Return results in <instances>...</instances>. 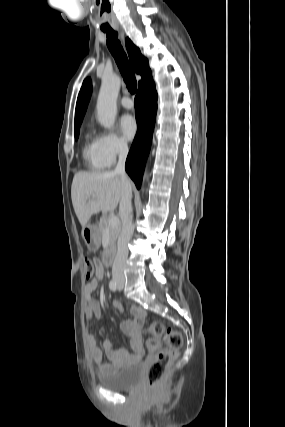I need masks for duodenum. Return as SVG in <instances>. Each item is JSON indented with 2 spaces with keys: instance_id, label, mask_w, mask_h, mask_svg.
Masks as SVG:
<instances>
[{
  "instance_id": "obj_1",
  "label": "duodenum",
  "mask_w": 285,
  "mask_h": 427,
  "mask_svg": "<svg viewBox=\"0 0 285 427\" xmlns=\"http://www.w3.org/2000/svg\"><path fill=\"white\" fill-rule=\"evenodd\" d=\"M115 252H116L115 245H113V244L109 245V247L106 251V254H105V262L107 264H111L113 262Z\"/></svg>"
}]
</instances>
